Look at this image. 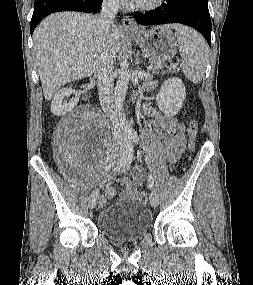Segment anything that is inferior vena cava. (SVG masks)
I'll return each instance as SVG.
<instances>
[{"label":"inferior vena cava","mask_w":253,"mask_h":285,"mask_svg":"<svg viewBox=\"0 0 253 285\" xmlns=\"http://www.w3.org/2000/svg\"><path fill=\"white\" fill-rule=\"evenodd\" d=\"M118 9L119 0H103L101 12L95 19L100 36V47L95 64L99 100L102 110L114 124L116 123L114 103V64L116 52L112 44L111 29L115 25L114 19L118 13Z\"/></svg>","instance_id":"obj_1"}]
</instances>
